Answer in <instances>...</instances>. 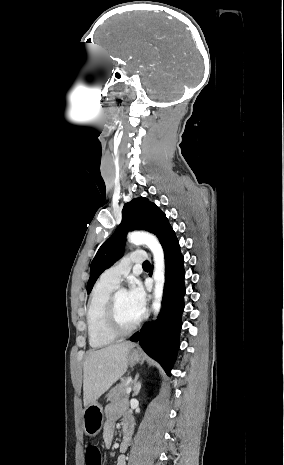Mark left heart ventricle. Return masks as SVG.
Listing matches in <instances>:
<instances>
[{
  "mask_svg": "<svg viewBox=\"0 0 284 465\" xmlns=\"http://www.w3.org/2000/svg\"><path fill=\"white\" fill-rule=\"evenodd\" d=\"M119 316V328L123 331L130 329L138 321L141 314L137 313L129 303L126 292H118L116 296Z\"/></svg>",
  "mask_w": 284,
  "mask_h": 465,
  "instance_id": "obj_1",
  "label": "left heart ventricle"
}]
</instances>
